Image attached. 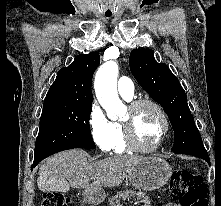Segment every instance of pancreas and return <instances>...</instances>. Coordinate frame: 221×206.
<instances>
[{"label": "pancreas", "mask_w": 221, "mask_h": 206, "mask_svg": "<svg viewBox=\"0 0 221 206\" xmlns=\"http://www.w3.org/2000/svg\"><path fill=\"white\" fill-rule=\"evenodd\" d=\"M135 197L137 198L136 204L138 205L142 204V206H149L151 203L149 196L145 195V193L131 190L117 192L109 198L108 202L111 206H122V203H125L126 200H130Z\"/></svg>", "instance_id": "obj_1"}]
</instances>
